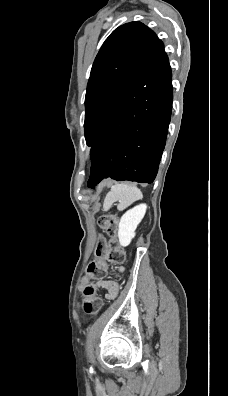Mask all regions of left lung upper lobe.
Listing matches in <instances>:
<instances>
[{
	"instance_id": "obj_1",
	"label": "left lung upper lobe",
	"mask_w": 228,
	"mask_h": 396,
	"mask_svg": "<svg viewBox=\"0 0 228 396\" xmlns=\"http://www.w3.org/2000/svg\"><path fill=\"white\" fill-rule=\"evenodd\" d=\"M159 38L139 21L115 29L93 63L85 97V138L92 146L114 106L144 69Z\"/></svg>"
}]
</instances>
